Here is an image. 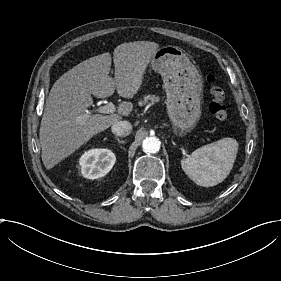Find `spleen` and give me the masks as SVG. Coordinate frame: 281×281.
<instances>
[{
  "label": "spleen",
  "instance_id": "1",
  "mask_svg": "<svg viewBox=\"0 0 281 281\" xmlns=\"http://www.w3.org/2000/svg\"><path fill=\"white\" fill-rule=\"evenodd\" d=\"M239 144L233 138H223L204 145L181 160L186 175L204 187L221 183L233 168Z\"/></svg>",
  "mask_w": 281,
  "mask_h": 281
}]
</instances>
